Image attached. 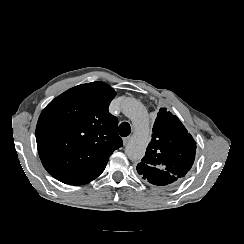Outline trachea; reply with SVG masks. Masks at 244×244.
Returning <instances> with one entry per match:
<instances>
[{
    "label": "trachea",
    "mask_w": 244,
    "mask_h": 244,
    "mask_svg": "<svg viewBox=\"0 0 244 244\" xmlns=\"http://www.w3.org/2000/svg\"><path fill=\"white\" fill-rule=\"evenodd\" d=\"M131 132V127H130V124L128 122H122L120 125H119V134L120 136L122 137H126L130 134Z\"/></svg>",
    "instance_id": "3493384b"
}]
</instances>
